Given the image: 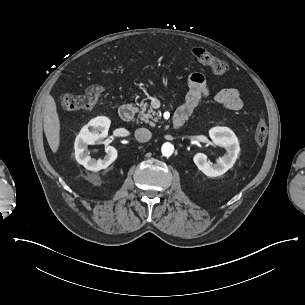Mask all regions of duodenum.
Instances as JSON below:
<instances>
[{
  "instance_id": "1",
  "label": "duodenum",
  "mask_w": 305,
  "mask_h": 305,
  "mask_svg": "<svg viewBox=\"0 0 305 305\" xmlns=\"http://www.w3.org/2000/svg\"><path fill=\"white\" fill-rule=\"evenodd\" d=\"M119 116L123 121H130L135 116V107L132 104H124L119 109ZM186 116L183 113H176L172 118L174 127H182L185 123Z\"/></svg>"
}]
</instances>
